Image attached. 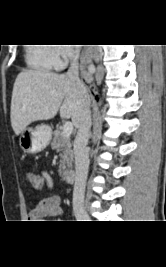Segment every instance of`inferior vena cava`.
<instances>
[{"label": "inferior vena cava", "instance_id": "602c4592", "mask_svg": "<svg viewBox=\"0 0 166 267\" xmlns=\"http://www.w3.org/2000/svg\"><path fill=\"white\" fill-rule=\"evenodd\" d=\"M79 49L72 51V60L66 76L74 81L83 91L86 88L82 81L79 79ZM89 104L85 107L78 132L74 141V154H75V184L73 189V209L75 212L83 210L84 207V193L85 185L89 168V157L87 152V144L89 139V131L91 128V111Z\"/></svg>", "mask_w": 166, "mask_h": 267}]
</instances>
